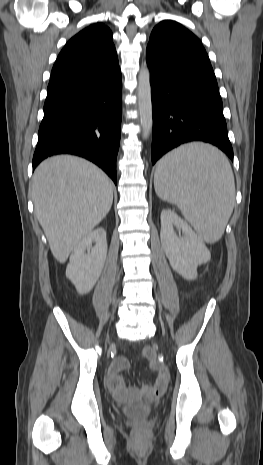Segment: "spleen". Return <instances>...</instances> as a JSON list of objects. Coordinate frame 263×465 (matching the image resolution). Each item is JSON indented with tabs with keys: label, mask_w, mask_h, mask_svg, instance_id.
Segmentation results:
<instances>
[{
	"label": "spleen",
	"mask_w": 263,
	"mask_h": 465,
	"mask_svg": "<svg viewBox=\"0 0 263 465\" xmlns=\"http://www.w3.org/2000/svg\"><path fill=\"white\" fill-rule=\"evenodd\" d=\"M155 191L175 204L207 243L223 235L235 202V183L226 156L205 144L183 145L161 158L154 176Z\"/></svg>",
	"instance_id": "3e777b00"
}]
</instances>
